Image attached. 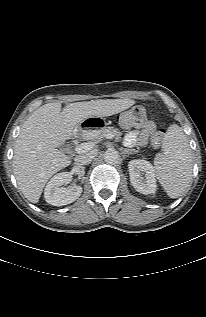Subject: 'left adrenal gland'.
Segmentation results:
<instances>
[{
  "label": "left adrenal gland",
  "instance_id": "a2214340",
  "mask_svg": "<svg viewBox=\"0 0 206 317\" xmlns=\"http://www.w3.org/2000/svg\"><path fill=\"white\" fill-rule=\"evenodd\" d=\"M137 151L134 149H125L123 148V153L124 154H132V153H136Z\"/></svg>",
  "mask_w": 206,
  "mask_h": 317
}]
</instances>
